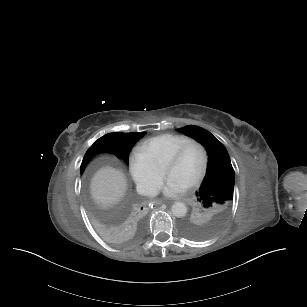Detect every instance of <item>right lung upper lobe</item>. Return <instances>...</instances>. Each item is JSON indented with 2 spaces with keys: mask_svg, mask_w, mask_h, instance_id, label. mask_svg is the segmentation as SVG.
Returning <instances> with one entry per match:
<instances>
[{
  "mask_svg": "<svg viewBox=\"0 0 307 307\" xmlns=\"http://www.w3.org/2000/svg\"><path fill=\"white\" fill-rule=\"evenodd\" d=\"M142 135L143 133H131ZM146 210L139 203H128L121 207L100 213L99 220L103 227L118 229L137 227L144 222Z\"/></svg>",
  "mask_w": 307,
  "mask_h": 307,
  "instance_id": "cb5924a9",
  "label": "right lung upper lobe"
}]
</instances>
